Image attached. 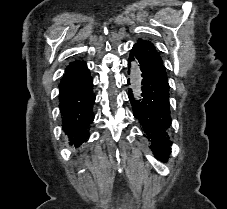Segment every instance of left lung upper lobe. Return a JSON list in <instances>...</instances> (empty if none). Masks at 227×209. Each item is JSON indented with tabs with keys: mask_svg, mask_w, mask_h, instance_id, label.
I'll return each mask as SVG.
<instances>
[{
	"mask_svg": "<svg viewBox=\"0 0 227 209\" xmlns=\"http://www.w3.org/2000/svg\"><path fill=\"white\" fill-rule=\"evenodd\" d=\"M134 47H136L141 53L145 54L150 59L164 67L163 60L161 59L159 52L156 51L152 43L139 39Z\"/></svg>",
	"mask_w": 227,
	"mask_h": 209,
	"instance_id": "1",
	"label": "left lung upper lobe"
}]
</instances>
